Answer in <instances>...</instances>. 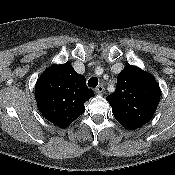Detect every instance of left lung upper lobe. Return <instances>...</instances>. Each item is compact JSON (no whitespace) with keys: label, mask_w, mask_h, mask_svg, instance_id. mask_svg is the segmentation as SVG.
Instances as JSON below:
<instances>
[{"label":"left lung upper lobe","mask_w":175,"mask_h":175,"mask_svg":"<svg viewBox=\"0 0 175 175\" xmlns=\"http://www.w3.org/2000/svg\"><path fill=\"white\" fill-rule=\"evenodd\" d=\"M160 94V87L152 75L136 66L127 65L118 74L115 92L106 100L120 124L139 128L152 118Z\"/></svg>","instance_id":"left-lung-upper-lobe-1"}]
</instances>
